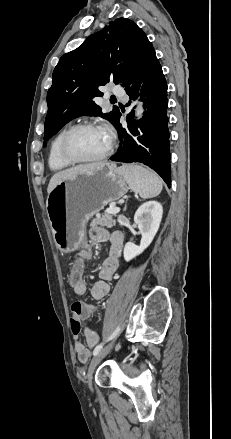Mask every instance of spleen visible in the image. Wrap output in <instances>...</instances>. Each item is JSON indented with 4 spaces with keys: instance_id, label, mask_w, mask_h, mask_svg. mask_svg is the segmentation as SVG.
Instances as JSON below:
<instances>
[{
    "instance_id": "spleen-1",
    "label": "spleen",
    "mask_w": 231,
    "mask_h": 439,
    "mask_svg": "<svg viewBox=\"0 0 231 439\" xmlns=\"http://www.w3.org/2000/svg\"><path fill=\"white\" fill-rule=\"evenodd\" d=\"M118 171L125 177L130 189L142 198L155 197L162 191L160 178L140 165H123Z\"/></svg>"
}]
</instances>
